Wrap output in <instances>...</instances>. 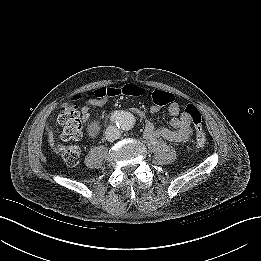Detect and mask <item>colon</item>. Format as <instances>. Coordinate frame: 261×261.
<instances>
[{"mask_svg":"<svg viewBox=\"0 0 261 261\" xmlns=\"http://www.w3.org/2000/svg\"><path fill=\"white\" fill-rule=\"evenodd\" d=\"M146 90L136 84H126L121 87H101L92 92L97 98L109 99L119 96H142ZM154 103L159 106L168 105L174 100L173 94L165 91L156 90L152 93ZM185 112L190 116L196 131L195 144L198 148H203L206 144V135L202 125V115L198 108L189 104ZM58 122L62 126L61 138L64 141H75L81 138L83 131V122L76 106L66 103L62 106L58 116ZM58 154L66 164L74 166L78 163L80 149L75 145H60Z\"/></svg>","mask_w":261,"mask_h":261,"instance_id":"obj_1","label":"colon"}]
</instances>
